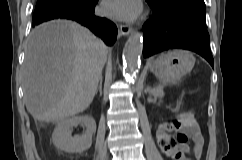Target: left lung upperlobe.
Returning a JSON list of instances; mask_svg holds the SVG:
<instances>
[{
    "instance_id": "obj_1",
    "label": "left lung upper lobe",
    "mask_w": 242,
    "mask_h": 160,
    "mask_svg": "<svg viewBox=\"0 0 242 160\" xmlns=\"http://www.w3.org/2000/svg\"><path fill=\"white\" fill-rule=\"evenodd\" d=\"M161 10L169 11L173 14L182 12L206 13L204 0H147Z\"/></svg>"
}]
</instances>
